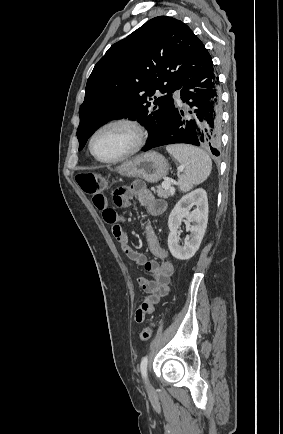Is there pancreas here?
Returning <instances> with one entry per match:
<instances>
[{
  "label": "pancreas",
  "instance_id": "pancreas-1",
  "mask_svg": "<svg viewBox=\"0 0 283 434\" xmlns=\"http://www.w3.org/2000/svg\"><path fill=\"white\" fill-rule=\"evenodd\" d=\"M172 188H164L162 185L156 187V193L161 198H168L172 193Z\"/></svg>",
  "mask_w": 283,
  "mask_h": 434
}]
</instances>
